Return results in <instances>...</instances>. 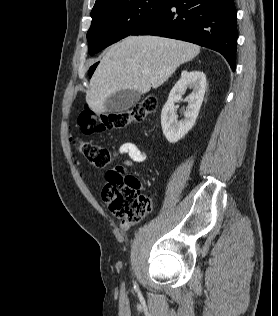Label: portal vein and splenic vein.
Masks as SVG:
<instances>
[{
    "instance_id": "obj_1",
    "label": "portal vein and splenic vein",
    "mask_w": 278,
    "mask_h": 316,
    "mask_svg": "<svg viewBox=\"0 0 278 316\" xmlns=\"http://www.w3.org/2000/svg\"><path fill=\"white\" fill-rule=\"evenodd\" d=\"M144 73H145V74H147V73H148V71H145Z\"/></svg>"
}]
</instances>
